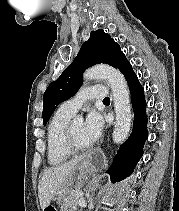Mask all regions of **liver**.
I'll list each match as a JSON object with an SVG mask.
<instances>
[{"instance_id": "1", "label": "liver", "mask_w": 179, "mask_h": 211, "mask_svg": "<svg viewBox=\"0 0 179 211\" xmlns=\"http://www.w3.org/2000/svg\"><path fill=\"white\" fill-rule=\"evenodd\" d=\"M84 162V157L75 158L69 162L44 170L38 184V197L41 209L47 208L54 196L60 190L74 169Z\"/></svg>"}]
</instances>
